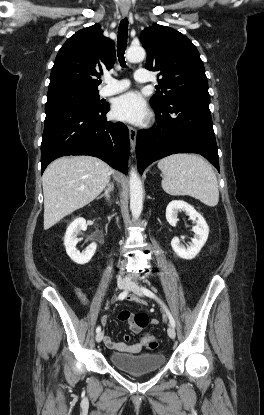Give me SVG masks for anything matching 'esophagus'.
Masks as SVG:
<instances>
[{
  "label": "esophagus",
  "mask_w": 264,
  "mask_h": 415,
  "mask_svg": "<svg viewBox=\"0 0 264 415\" xmlns=\"http://www.w3.org/2000/svg\"><path fill=\"white\" fill-rule=\"evenodd\" d=\"M122 14H123V16H126L127 12H123ZM128 130H129V139H130L131 151L134 152L135 146H136L137 130L132 126H129Z\"/></svg>",
  "instance_id": "1"
}]
</instances>
